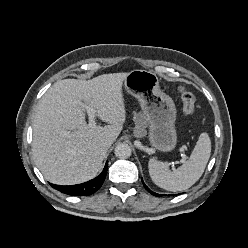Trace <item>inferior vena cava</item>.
I'll use <instances>...</instances> for the list:
<instances>
[{
    "label": "inferior vena cava",
    "instance_id": "1",
    "mask_svg": "<svg viewBox=\"0 0 248 248\" xmlns=\"http://www.w3.org/2000/svg\"><path fill=\"white\" fill-rule=\"evenodd\" d=\"M113 141L111 139H103L100 142V146L103 148L108 149L112 145Z\"/></svg>",
    "mask_w": 248,
    "mask_h": 248
}]
</instances>
